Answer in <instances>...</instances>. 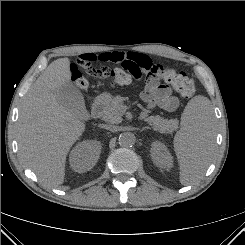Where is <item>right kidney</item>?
Masks as SVG:
<instances>
[{
    "instance_id": "right-kidney-1",
    "label": "right kidney",
    "mask_w": 245,
    "mask_h": 245,
    "mask_svg": "<svg viewBox=\"0 0 245 245\" xmlns=\"http://www.w3.org/2000/svg\"><path fill=\"white\" fill-rule=\"evenodd\" d=\"M101 153V143L97 140H85L78 143L71 151L69 162L78 173L89 171L97 163Z\"/></svg>"
}]
</instances>
